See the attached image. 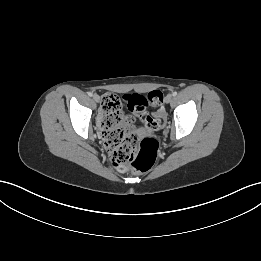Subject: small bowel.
Returning a JSON list of instances; mask_svg holds the SVG:
<instances>
[{"mask_svg":"<svg viewBox=\"0 0 261 261\" xmlns=\"http://www.w3.org/2000/svg\"><path fill=\"white\" fill-rule=\"evenodd\" d=\"M131 111V110H130ZM133 116V118H131V119H135V118H137V119H139L140 120V118H139V116H134V115H132ZM146 126H147V124H145ZM148 127V126H147ZM149 128V127H148Z\"/></svg>","mask_w":261,"mask_h":261,"instance_id":"obj_1","label":"small bowel"}]
</instances>
